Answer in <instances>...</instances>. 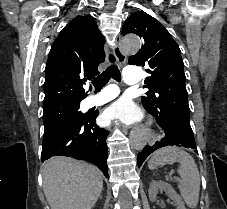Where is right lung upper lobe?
<instances>
[{
    "mask_svg": "<svg viewBox=\"0 0 227 209\" xmlns=\"http://www.w3.org/2000/svg\"><path fill=\"white\" fill-rule=\"evenodd\" d=\"M104 42L89 15L75 17L62 29L46 63L43 106L87 96L83 84L99 74L98 65L105 60Z\"/></svg>",
    "mask_w": 227,
    "mask_h": 209,
    "instance_id": "right-lung-upper-lobe-1",
    "label": "right lung upper lobe"
}]
</instances>
